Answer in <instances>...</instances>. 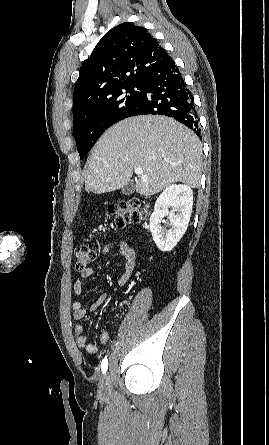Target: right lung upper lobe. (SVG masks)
<instances>
[{
	"mask_svg": "<svg viewBox=\"0 0 269 445\" xmlns=\"http://www.w3.org/2000/svg\"><path fill=\"white\" fill-rule=\"evenodd\" d=\"M171 57L144 27L124 22L109 30L82 65L73 109L87 100L129 84H140Z\"/></svg>",
	"mask_w": 269,
	"mask_h": 445,
	"instance_id": "obj_1",
	"label": "right lung upper lobe"
}]
</instances>
